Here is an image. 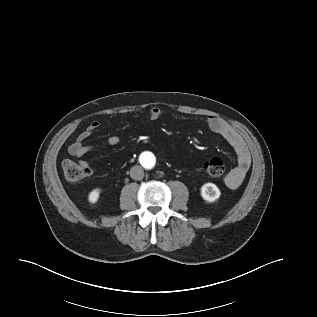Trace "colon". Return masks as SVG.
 <instances>
[{
    "label": "colon",
    "instance_id": "colon-1",
    "mask_svg": "<svg viewBox=\"0 0 317 317\" xmlns=\"http://www.w3.org/2000/svg\"><path fill=\"white\" fill-rule=\"evenodd\" d=\"M65 178L69 182H80L90 175V168L81 163L65 160L62 164ZM205 173L211 178L221 177L226 172V163L220 158H212L203 165Z\"/></svg>",
    "mask_w": 317,
    "mask_h": 317
}]
</instances>
